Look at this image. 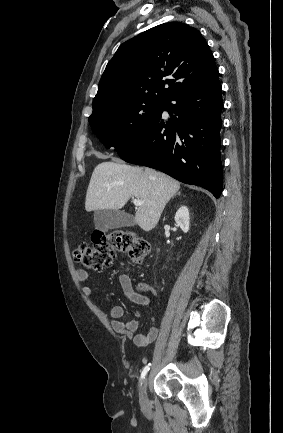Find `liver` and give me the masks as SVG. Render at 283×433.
I'll list each match as a JSON object with an SVG mask.
<instances>
[{"label": "liver", "instance_id": "1", "mask_svg": "<svg viewBox=\"0 0 283 433\" xmlns=\"http://www.w3.org/2000/svg\"><path fill=\"white\" fill-rule=\"evenodd\" d=\"M180 182L153 168L130 166L122 162H101L95 166L88 184L86 210H119L130 196L144 200L136 208L135 223L143 231H152Z\"/></svg>", "mask_w": 283, "mask_h": 433}]
</instances>
